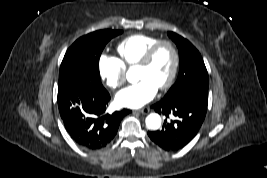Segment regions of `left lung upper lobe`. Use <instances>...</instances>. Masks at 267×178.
<instances>
[{"instance_id":"1","label":"left lung upper lobe","mask_w":267,"mask_h":178,"mask_svg":"<svg viewBox=\"0 0 267 178\" xmlns=\"http://www.w3.org/2000/svg\"><path fill=\"white\" fill-rule=\"evenodd\" d=\"M176 43L180 56V70L175 84L164 98H175L188 92H198L208 96L209 78L204 61L198 50L185 38L168 32Z\"/></svg>"}]
</instances>
